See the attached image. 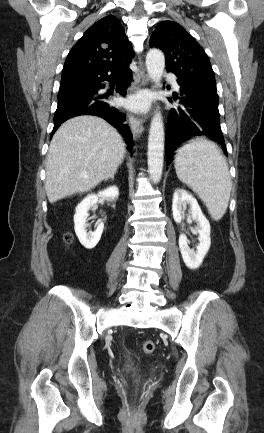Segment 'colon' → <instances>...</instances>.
<instances>
[{"label":"colon","instance_id":"1","mask_svg":"<svg viewBox=\"0 0 264 433\" xmlns=\"http://www.w3.org/2000/svg\"><path fill=\"white\" fill-rule=\"evenodd\" d=\"M65 240H66L67 242H70V240H71V236H70V235H67V236L65 237ZM142 350H143V352L146 353V354H151V353H153L154 350H155V342H154L153 340H151V339H145V340L142 342Z\"/></svg>","mask_w":264,"mask_h":433}]
</instances>
